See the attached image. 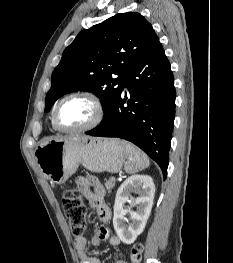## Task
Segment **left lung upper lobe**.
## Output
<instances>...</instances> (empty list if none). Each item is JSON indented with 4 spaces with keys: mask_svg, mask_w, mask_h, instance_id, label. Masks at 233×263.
Segmentation results:
<instances>
[{
    "mask_svg": "<svg viewBox=\"0 0 233 263\" xmlns=\"http://www.w3.org/2000/svg\"><path fill=\"white\" fill-rule=\"evenodd\" d=\"M156 37L139 13L116 14L81 31L52 73L45 112L64 94L89 91L101 99L107 115L120 96L127 72Z\"/></svg>",
    "mask_w": 233,
    "mask_h": 263,
    "instance_id": "5c2ea615",
    "label": "left lung upper lobe"
}]
</instances>
